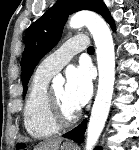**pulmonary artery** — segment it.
Returning <instances> with one entry per match:
<instances>
[{
    "label": "pulmonary artery",
    "mask_w": 139,
    "mask_h": 150,
    "mask_svg": "<svg viewBox=\"0 0 139 150\" xmlns=\"http://www.w3.org/2000/svg\"><path fill=\"white\" fill-rule=\"evenodd\" d=\"M89 47L88 38L76 35L67 40L56 52L45 58L37 67L36 75L51 77L61 70L70 59L80 51Z\"/></svg>",
    "instance_id": "e3ab8cb5"
}]
</instances>
